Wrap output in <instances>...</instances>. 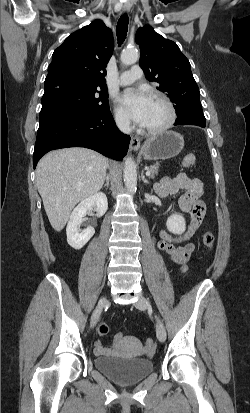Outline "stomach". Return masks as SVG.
<instances>
[{"label": "stomach", "mask_w": 250, "mask_h": 413, "mask_svg": "<svg viewBox=\"0 0 250 413\" xmlns=\"http://www.w3.org/2000/svg\"><path fill=\"white\" fill-rule=\"evenodd\" d=\"M184 147V138L174 131H165L145 141L140 153L146 160H165L177 156Z\"/></svg>", "instance_id": "obj_1"}]
</instances>
